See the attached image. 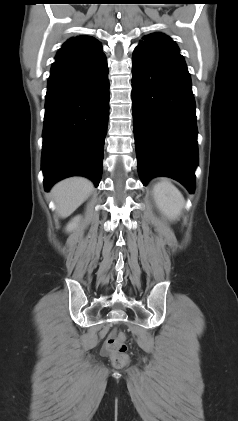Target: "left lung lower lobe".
Instances as JSON below:
<instances>
[{"label": "left lung lower lobe", "mask_w": 238, "mask_h": 421, "mask_svg": "<svg viewBox=\"0 0 238 421\" xmlns=\"http://www.w3.org/2000/svg\"><path fill=\"white\" fill-rule=\"evenodd\" d=\"M132 75L134 136L142 183L168 176L193 193L197 126L191 78L183 56L135 48Z\"/></svg>", "instance_id": "obj_1"}]
</instances>
